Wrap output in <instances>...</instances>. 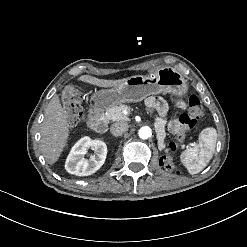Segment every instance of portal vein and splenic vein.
Wrapping results in <instances>:
<instances>
[{
    "instance_id": "18ae733b",
    "label": "portal vein and splenic vein",
    "mask_w": 247,
    "mask_h": 247,
    "mask_svg": "<svg viewBox=\"0 0 247 247\" xmlns=\"http://www.w3.org/2000/svg\"><path fill=\"white\" fill-rule=\"evenodd\" d=\"M188 146H189V147H192V146H193V143H192V142H189V143H188Z\"/></svg>"
}]
</instances>
